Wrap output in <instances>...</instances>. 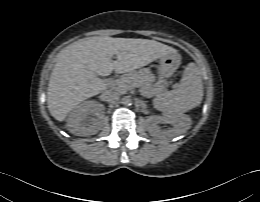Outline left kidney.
I'll return each mask as SVG.
<instances>
[{"instance_id":"1","label":"left kidney","mask_w":260,"mask_h":202,"mask_svg":"<svg viewBox=\"0 0 260 202\" xmlns=\"http://www.w3.org/2000/svg\"><path fill=\"white\" fill-rule=\"evenodd\" d=\"M147 120L149 122L148 131L150 135L155 138H160L163 136V134L171 136L178 135L180 134L183 125L189 122V119L186 116L174 113L164 114L163 116H149ZM158 123L173 124L175 128L172 131L162 132L160 127L157 125Z\"/></svg>"}]
</instances>
